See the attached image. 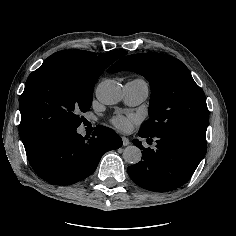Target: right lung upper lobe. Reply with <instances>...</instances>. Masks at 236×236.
Here are the masks:
<instances>
[{
  "instance_id": "right-lung-upper-lobe-1",
  "label": "right lung upper lobe",
  "mask_w": 236,
  "mask_h": 236,
  "mask_svg": "<svg viewBox=\"0 0 236 236\" xmlns=\"http://www.w3.org/2000/svg\"><path fill=\"white\" fill-rule=\"evenodd\" d=\"M126 54V51L121 50L100 55L84 50H65L54 53L43 64L64 61L85 73L100 76L109 65Z\"/></svg>"
}]
</instances>
